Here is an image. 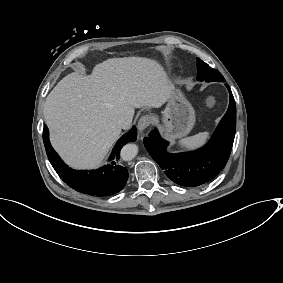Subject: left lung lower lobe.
<instances>
[{"mask_svg": "<svg viewBox=\"0 0 283 283\" xmlns=\"http://www.w3.org/2000/svg\"><path fill=\"white\" fill-rule=\"evenodd\" d=\"M229 108L220 121L210 141L202 148L186 153L171 154L166 148L168 142L157 130L144 138V145L166 176L174 183L196 187L211 181L225 167L231 153L235 129L236 106L230 90Z\"/></svg>", "mask_w": 283, "mask_h": 283, "instance_id": "0a47b994", "label": "left lung lower lobe"}]
</instances>
